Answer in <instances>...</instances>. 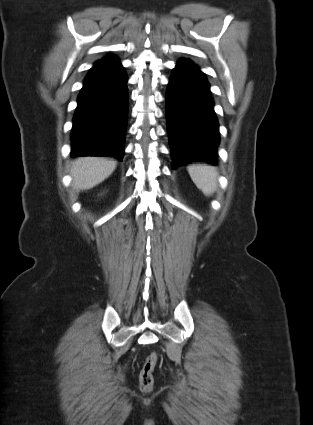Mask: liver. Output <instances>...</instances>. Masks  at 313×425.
Instances as JSON below:
<instances>
[{
	"label": "liver",
	"mask_w": 313,
	"mask_h": 425,
	"mask_svg": "<svg viewBox=\"0 0 313 425\" xmlns=\"http://www.w3.org/2000/svg\"><path fill=\"white\" fill-rule=\"evenodd\" d=\"M117 162L100 157H82L73 162L71 175L73 187L89 190L103 182L115 170Z\"/></svg>",
	"instance_id": "1"
}]
</instances>
